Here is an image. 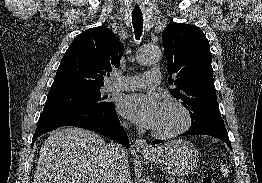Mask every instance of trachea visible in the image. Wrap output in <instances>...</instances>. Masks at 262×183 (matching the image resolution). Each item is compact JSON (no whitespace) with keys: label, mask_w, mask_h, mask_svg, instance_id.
Instances as JSON below:
<instances>
[{"label":"trachea","mask_w":262,"mask_h":183,"mask_svg":"<svg viewBox=\"0 0 262 183\" xmlns=\"http://www.w3.org/2000/svg\"><path fill=\"white\" fill-rule=\"evenodd\" d=\"M132 23H133L135 37L137 40H139L142 35V29H143V16L141 11L132 12Z\"/></svg>","instance_id":"1"}]
</instances>
